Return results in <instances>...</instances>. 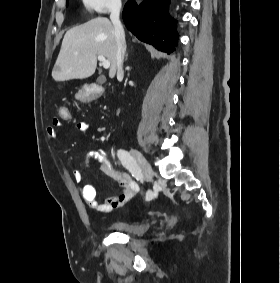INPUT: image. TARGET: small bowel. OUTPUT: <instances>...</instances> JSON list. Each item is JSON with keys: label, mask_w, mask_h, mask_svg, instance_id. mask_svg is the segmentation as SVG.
Returning a JSON list of instances; mask_svg holds the SVG:
<instances>
[{"label": "small bowel", "mask_w": 280, "mask_h": 283, "mask_svg": "<svg viewBox=\"0 0 280 283\" xmlns=\"http://www.w3.org/2000/svg\"><path fill=\"white\" fill-rule=\"evenodd\" d=\"M70 120V119H68ZM61 126L59 119H54L51 125L47 128L49 138H55L58 135V128ZM89 125L85 121H80L76 124V129L79 133L85 134ZM89 158H95L102 164L104 174L112 178L122 188V191L115 195L106 198L103 202L97 200L96 190L92 184H84L81 188V197L93 210L100 213H109L114 209L120 208L133 199L139 191V186L132 177L117 169L109 159L108 153L103 148L90 151ZM72 177L75 182H82V172L73 170Z\"/></svg>", "instance_id": "1"}]
</instances>
